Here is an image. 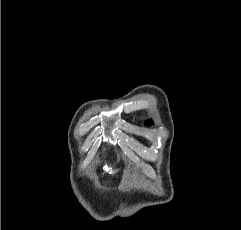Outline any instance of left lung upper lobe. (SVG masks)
Listing matches in <instances>:
<instances>
[{"label":"left lung upper lobe","instance_id":"obj_1","mask_svg":"<svg viewBox=\"0 0 241 230\" xmlns=\"http://www.w3.org/2000/svg\"><path fill=\"white\" fill-rule=\"evenodd\" d=\"M151 123H152V121H149V122L147 121V122H146V125H149V124H151Z\"/></svg>","mask_w":241,"mask_h":230}]
</instances>
